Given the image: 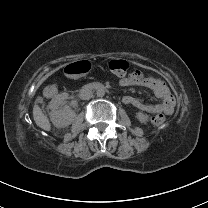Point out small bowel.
Segmentation results:
<instances>
[{"label": "small bowel", "mask_w": 208, "mask_h": 208, "mask_svg": "<svg viewBox=\"0 0 208 208\" xmlns=\"http://www.w3.org/2000/svg\"><path fill=\"white\" fill-rule=\"evenodd\" d=\"M120 83L123 86H143L154 91L156 97L160 100L156 104L147 103L133 96H125L123 101L125 104L131 105L149 114H171L174 109V97L160 78L144 77L140 72H134L121 77Z\"/></svg>", "instance_id": "small-bowel-1"}]
</instances>
